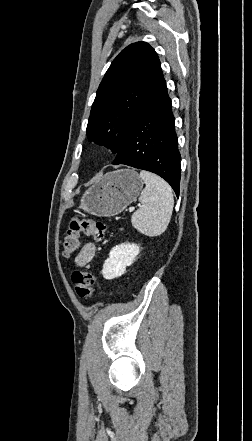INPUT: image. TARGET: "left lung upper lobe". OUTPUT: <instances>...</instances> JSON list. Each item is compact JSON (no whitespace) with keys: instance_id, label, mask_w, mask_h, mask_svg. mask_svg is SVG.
<instances>
[{"instance_id":"1","label":"left lung upper lobe","mask_w":252,"mask_h":441,"mask_svg":"<svg viewBox=\"0 0 252 441\" xmlns=\"http://www.w3.org/2000/svg\"><path fill=\"white\" fill-rule=\"evenodd\" d=\"M159 64L157 53L146 42L133 43L120 52L97 90L87 125L89 141L118 153Z\"/></svg>"}]
</instances>
